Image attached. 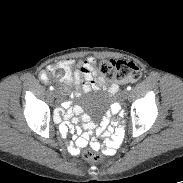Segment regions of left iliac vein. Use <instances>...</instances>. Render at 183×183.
<instances>
[{"label":"left iliac vein","mask_w":183,"mask_h":183,"mask_svg":"<svg viewBox=\"0 0 183 183\" xmlns=\"http://www.w3.org/2000/svg\"><path fill=\"white\" fill-rule=\"evenodd\" d=\"M121 95L123 99H126L129 96V91L125 89L122 91Z\"/></svg>","instance_id":"left-iliac-vein-1"}]
</instances>
